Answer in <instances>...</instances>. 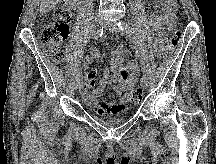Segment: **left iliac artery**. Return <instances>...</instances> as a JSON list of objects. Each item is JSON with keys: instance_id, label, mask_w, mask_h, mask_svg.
Masks as SVG:
<instances>
[{"instance_id": "1", "label": "left iliac artery", "mask_w": 216, "mask_h": 164, "mask_svg": "<svg viewBox=\"0 0 216 164\" xmlns=\"http://www.w3.org/2000/svg\"><path fill=\"white\" fill-rule=\"evenodd\" d=\"M118 27L119 29L125 33L126 35L129 36L130 40L134 42V31L132 30V28L125 22H118ZM141 74H146V69H141Z\"/></svg>"}]
</instances>
